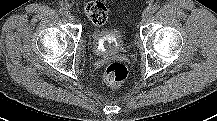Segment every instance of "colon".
<instances>
[{"instance_id":"5ec220e1","label":"colon","mask_w":217,"mask_h":121,"mask_svg":"<svg viewBox=\"0 0 217 121\" xmlns=\"http://www.w3.org/2000/svg\"><path fill=\"white\" fill-rule=\"evenodd\" d=\"M87 18L96 26H102L107 20V9L100 1H90L85 5ZM128 76L127 67L119 62L110 64L104 71V80L108 85H119Z\"/></svg>"}]
</instances>
